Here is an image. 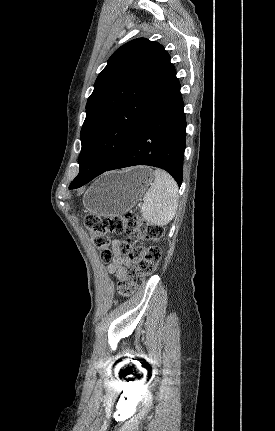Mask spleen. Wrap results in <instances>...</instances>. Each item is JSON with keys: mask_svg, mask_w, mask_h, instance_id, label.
Wrapping results in <instances>:
<instances>
[{"mask_svg": "<svg viewBox=\"0 0 275 431\" xmlns=\"http://www.w3.org/2000/svg\"><path fill=\"white\" fill-rule=\"evenodd\" d=\"M154 182L146 191L141 206L146 221L157 226L167 225L175 216L178 207V186L165 171H154Z\"/></svg>", "mask_w": 275, "mask_h": 431, "instance_id": "1", "label": "spleen"}]
</instances>
